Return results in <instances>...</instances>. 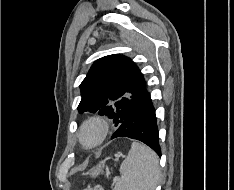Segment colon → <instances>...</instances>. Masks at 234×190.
I'll list each match as a JSON object with an SVG mask.
<instances>
[{
	"mask_svg": "<svg viewBox=\"0 0 234 190\" xmlns=\"http://www.w3.org/2000/svg\"><path fill=\"white\" fill-rule=\"evenodd\" d=\"M83 190H104L102 186L100 185H96V186H93V187H87Z\"/></svg>",
	"mask_w": 234,
	"mask_h": 190,
	"instance_id": "5ec220e1",
	"label": "colon"
}]
</instances>
